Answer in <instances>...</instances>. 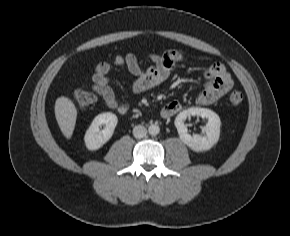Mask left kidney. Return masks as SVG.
<instances>
[{"instance_id":"obj_1","label":"left kidney","mask_w":290,"mask_h":236,"mask_svg":"<svg viewBox=\"0 0 290 236\" xmlns=\"http://www.w3.org/2000/svg\"><path fill=\"white\" fill-rule=\"evenodd\" d=\"M190 116H200L208 120L204 127L205 135L188 133L187 126L184 121ZM221 121L219 116L210 109L191 107L180 112L175 119V126L177 128L180 139L193 151L200 152L209 150L219 140Z\"/></svg>"}]
</instances>
